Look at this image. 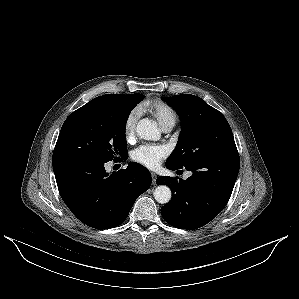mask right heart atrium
I'll return each instance as SVG.
<instances>
[{"label": "right heart atrium", "instance_id": "obj_1", "mask_svg": "<svg viewBox=\"0 0 299 299\" xmlns=\"http://www.w3.org/2000/svg\"><path fill=\"white\" fill-rule=\"evenodd\" d=\"M138 118V110L133 109L127 114L124 120L123 133L127 141H131L134 139Z\"/></svg>", "mask_w": 299, "mask_h": 299}]
</instances>
